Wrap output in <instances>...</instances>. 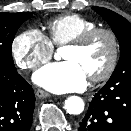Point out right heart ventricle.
<instances>
[{
  "label": "right heart ventricle",
  "mask_w": 131,
  "mask_h": 131,
  "mask_svg": "<svg viewBox=\"0 0 131 131\" xmlns=\"http://www.w3.org/2000/svg\"><path fill=\"white\" fill-rule=\"evenodd\" d=\"M97 24L78 14H65L47 23L48 39L53 46L66 45Z\"/></svg>",
  "instance_id": "obj_1"
}]
</instances>
